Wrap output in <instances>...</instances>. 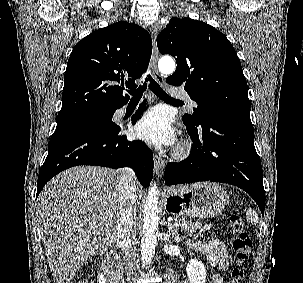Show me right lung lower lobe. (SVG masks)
Segmentation results:
<instances>
[{
	"label": "right lung lower lobe",
	"mask_w": 303,
	"mask_h": 283,
	"mask_svg": "<svg viewBox=\"0 0 303 283\" xmlns=\"http://www.w3.org/2000/svg\"><path fill=\"white\" fill-rule=\"evenodd\" d=\"M137 111L134 124L141 111ZM121 128L97 131L70 128L55 131L49 141L48 155L37 182V194L44 185L61 171L78 165H96L109 168L131 167L143 187H148L153 176V153L142 141H128L120 134Z\"/></svg>",
	"instance_id": "98d812e1"
}]
</instances>
